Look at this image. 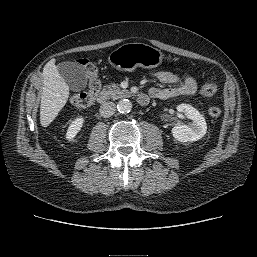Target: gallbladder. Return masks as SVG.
Masks as SVG:
<instances>
[{
    "label": "gallbladder",
    "instance_id": "1",
    "mask_svg": "<svg viewBox=\"0 0 257 257\" xmlns=\"http://www.w3.org/2000/svg\"><path fill=\"white\" fill-rule=\"evenodd\" d=\"M59 74L73 91H81L87 85L85 69L76 62H61L57 65Z\"/></svg>",
    "mask_w": 257,
    "mask_h": 257
}]
</instances>
